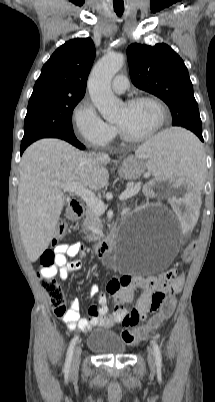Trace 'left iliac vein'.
Masks as SVG:
<instances>
[{
    "instance_id": "obj_1",
    "label": "left iliac vein",
    "mask_w": 215,
    "mask_h": 402,
    "mask_svg": "<svg viewBox=\"0 0 215 402\" xmlns=\"http://www.w3.org/2000/svg\"><path fill=\"white\" fill-rule=\"evenodd\" d=\"M147 353H148L147 359H148L149 366H150L151 369H154L155 368L154 353H153L151 348L147 349Z\"/></svg>"
}]
</instances>
